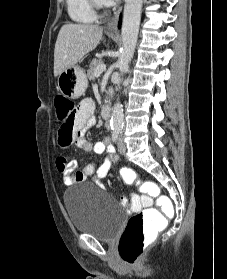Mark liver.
<instances>
[{
	"label": "liver",
	"instance_id": "1",
	"mask_svg": "<svg viewBox=\"0 0 227 279\" xmlns=\"http://www.w3.org/2000/svg\"><path fill=\"white\" fill-rule=\"evenodd\" d=\"M103 28L92 24L68 23L61 27L54 49V76L76 65L99 44Z\"/></svg>",
	"mask_w": 227,
	"mask_h": 279
}]
</instances>
